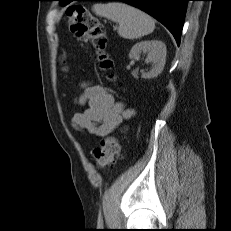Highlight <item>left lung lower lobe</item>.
Here are the masks:
<instances>
[{"mask_svg":"<svg viewBox=\"0 0 231 231\" xmlns=\"http://www.w3.org/2000/svg\"><path fill=\"white\" fill-rule=\"evenodd\" d=\"M71 1L64 0L62 6ZM82 1V0H79ZM83 1H122L137 7L160 21L173 34L177 44L180 43L187 2L190 0H83Z\"/></svg>","mask_w":231,"mask_h":231,"instance_id":"obj_1","label":"left lung lower lobe"}]
</instances>
